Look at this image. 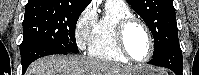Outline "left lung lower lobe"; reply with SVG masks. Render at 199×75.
I'll return each mask as SVG.
<instances>
[{
  "label": "left lung lower lobe",
  "mask_w": 199,
  "mask_h": 75,
  "mask_svg": "<svg viewBox=\"0 0 199 75\" xmlns=\"http://www.w3.org/2000/svg\"><path fill=\"white\" fill-rule=\"evenodd\" d=\"M148 64L162 66L172 70L176 75H182L183 57L180 45L152 58Z\"/></svg>",
  "instance_id": "obj_1"
}]
</instances>
